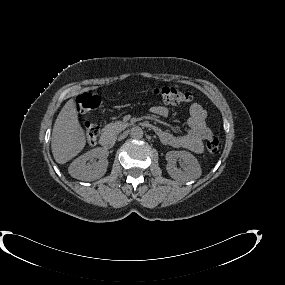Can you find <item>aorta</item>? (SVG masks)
Segmentation results:
<instances>
[{"instance_id": "1", "label": "aorta", "mask_w": 285, "mask_h": 285, "mask_svg": "<svg viewBox=\"0 0 285 285\" xmlns=\"http://www.w3.org/2000/svg\"><path fill=\"white\" fill-rule=\"evenodd\" d=\"M131 136L136 139H140L143 137V130L140 127H134L131 130Z\"/></svg>"}]
</instances>
